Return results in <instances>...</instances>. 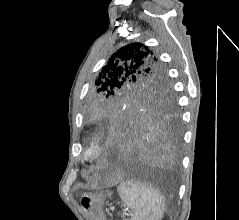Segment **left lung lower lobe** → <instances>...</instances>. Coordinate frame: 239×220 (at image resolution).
I'll use <instances>...</instances> for the list:
<instances>
[{"label":"left lung lower lobe","mask_w":239,"mask_h":220,"mask_svg":"<svg viewBox=\"0 0 239 220\" xmlns=\"http://www.w3.org/2000/svg\"><path fill=\"white\" fill-rule=\"evenodd\" d=\"M109 145L111 165L173 164L181 141L178 113L155 109L110 108L95 121Z\"/></svg>","instance_id":"obj_1"}]
</instances>
